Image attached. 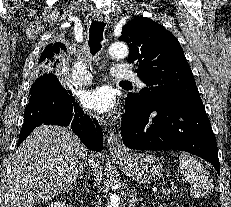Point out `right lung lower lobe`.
Instances as JSON below:
<instances>
[{"label": "right lung lower lobe", "instance_id": "1", "mask_svg": "<svg viewBox=\"0 0 231 207\" xmlns=\"http://www.w3.org/2000/svg\"><path fill=\"white\" fill-rule=\"evenodd\" d=\"M42 124L71 126L88 149L101 152L103 135L101 126L83 113L69 90L53 74L39 77L31 86V97L25 108V119L18 146Z\"/></svg>", "mask_w": 231, "mask_h": 207}]
</instances>
